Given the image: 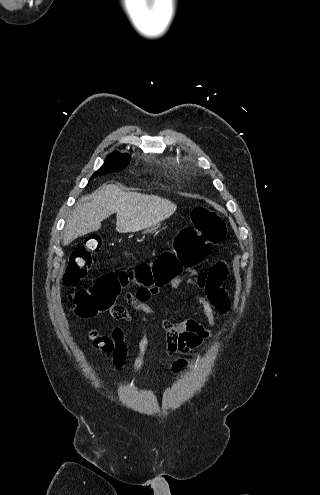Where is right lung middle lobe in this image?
Segmentation results:
<instances>
[{
    "label": "right lung middle lobe",
    "mask_w": 320,
    "mask_h": 495,
    "mask_svg": "<svg viewBox=\"0 0 320 495\" xmlns=\"http://www.w3.org/2000/svg\"><path fill=\"white\" fill-rule=\"evenodd\" d=\"M129 158V155H122L117 151L113 152L107 157L103 166L92 175L91 179L98 175L110 173L126 167Z\"/></svg>",
    "instance_id": "right-lung-middle-lobe-1"
}]
</instances>
